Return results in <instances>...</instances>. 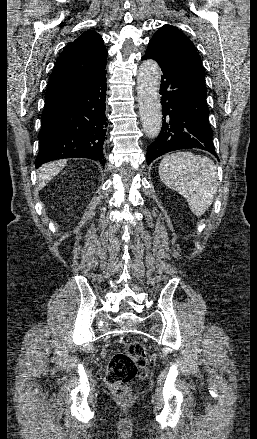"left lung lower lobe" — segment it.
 <instances>
[{
    "instance_id": "1",
    "label": "left lung lower lobe",
    "mask_w": 257,
    "mask_h": 439,
    "mask_svg": "<svg viewBox=\"0 0 257 439\" xmlns=\"http://www.w3.org/2000/svg\"><path fill=\"white\" fill-rule=\"evenodd\" d=\"M142 59L156 60L162 70L160 94L164 120L158 137L147 148V164L165 153L192 148L208 151L218 158L208 122L205 85L159 54L154 45H148Z\"/></svg>"
}]
</instances>
